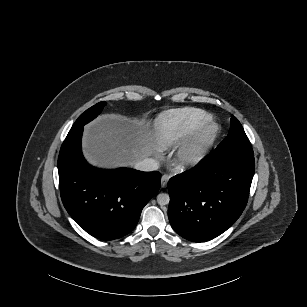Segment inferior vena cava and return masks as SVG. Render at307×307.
Instances as JSON below:
<instances>
[{
  "label": "inferior vena cava",
  "instance_id": "602c4592",
  "mask_svg": "<svg viewBox=\"0 0 307 307\" xmlns=\"http://www.w3.org/2000/svg\"><path fill=\"white\" fill-rule=\"evenodd\" d=\"M134 168L139 171L150 172L159 168V163L152 158H145L134 165Z\"/></svg>",
  "mask_w": 307,
  "mask_h": 307
}]
</instances>
